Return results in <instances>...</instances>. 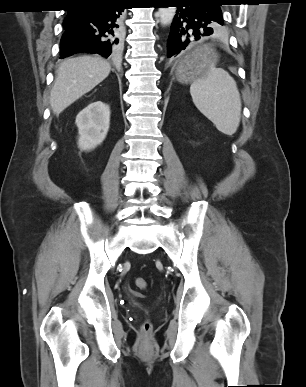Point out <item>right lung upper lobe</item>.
Listing matches in <instances>:
<instances>
[{"mask_svg": "<svg viewBox=\"0 0 306 387\" xmlns=\"http://www.w3.org/2000/svg\"><path fill=\"white\" fill-rule=\"evenodd\" d=\"M71 6H79V5H86V4H99L110 0H68ZM67 20L70 21L67 25H64V27H68L74 23V19L69 14L67 15Z\"/></svg>", "mask_w": 306, "mask_h": 387, "instance_id": "1", "label": "right lung upper lobe"}]
</instances>
